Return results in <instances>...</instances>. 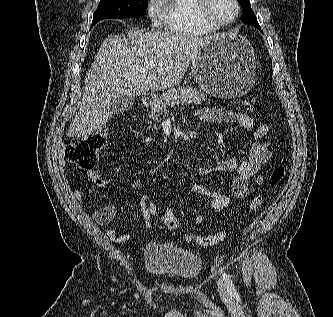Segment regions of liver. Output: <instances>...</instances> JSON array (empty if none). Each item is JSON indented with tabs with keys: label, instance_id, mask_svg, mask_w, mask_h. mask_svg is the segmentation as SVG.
I'll list each match as a JSON object with an SVG mask.
<instances>
[{
	"label": "liver",
	"instance_id": "liver-1",
	"mask_svg": "<svg viewBox=\"0 0 333 317\" xmlns=\"http://www.w3.org/2000/svg\"><path fill=\"white\" fill-rule=\"evenodd\" d=\"M211 37L136 30L106 38L85 77L82 102L66 135L86 139L102 129L112 117L110 102L116 96L176 86Z\"/></svg>",
	"mask_w": 333,
	"mask_h": 317
}]
</instances>
